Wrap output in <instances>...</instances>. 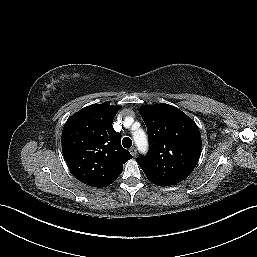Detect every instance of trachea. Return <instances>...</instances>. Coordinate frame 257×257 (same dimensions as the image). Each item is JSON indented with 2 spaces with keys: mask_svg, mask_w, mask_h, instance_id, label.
Listing matches in <instances>:
<instances>
[{
  "mask_svg": "<svg viewBox=\"0 0 257 257\" xmlns=\"http://www.w3.org/2000/svg\"><path fill=\"white\" fill-rule=\"evenodd\" d=\"M122 144H123L124 148H130L132 146V140L130 138H128V137H125L122 140Z\"/></svg>",
  "mask_w": 257,
  "mask_h": 257,
  "instance_id": "trachea-1",
  "label": "trachea"
}]
</instances>
